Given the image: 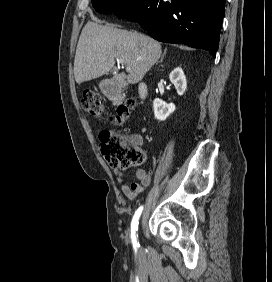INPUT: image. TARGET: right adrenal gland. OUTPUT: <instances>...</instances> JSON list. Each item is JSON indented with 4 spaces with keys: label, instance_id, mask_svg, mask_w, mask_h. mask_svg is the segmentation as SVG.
Returning a JSON list of instances; mask_svg holds the SVG:
<instances>
[{
    "label": "right adrenal gland",
    "instance_id": "right-adrenal-gland-1",
    "mask_svg": "<svg viewBox=\"0 0 272 282\" xmlns=\"http://www.w3.org/2000/svg\"><path fill=\"white\" fill-rule=\"evenodd\" d=\"M166 52H167V50L165 49L164 50V53H163V55L161 56V58H160V62H162L163 61V59H164V56L166 55Z\"/></svg>",
    "mask_w": 272,
    "mask_h": 282
}]
</instances>
